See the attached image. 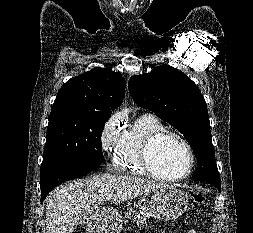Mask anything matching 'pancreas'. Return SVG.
Wrapping results in <instances>:
<instances>
[{
  "mask_svg": "<svg viewBox=\"0 0 253 233\" xmlns=\"http://www.w3.org/2000/svg\"><path fill=\"white\" fill-rule=\"evenodd\" d=\"M128 220L137 221L139 224L147 226L145 217L141 214H138L134 209H130L128 212H126L124 222L127 223Z\"/></svg>",
  "mask_w": 253,
  "mask_h": 233,
  "instance_id": "pancreas-1",
  "label": "pancreas"
}]
</instances>
